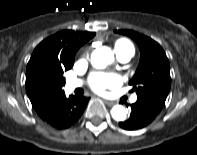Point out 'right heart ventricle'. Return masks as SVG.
I'll return each mask as SVG.
<instances>
[{
	"mask_svg": "<svg viewBox=\"0 0 197 155\" xmlns=\"http://www.w3.org/2000/svg\"><path fill=\"white\" fill-rule=\"evenodd\" d=\"M114 49L116 51V53H119L121 51L124 50H131L134 52V47L132 46V44L126 40H117L114 43Z\"/></svg>",
	"mask_w": 197,
	"mask_h": 155,
	"instance_id": "1",
	"label": "right heart ventricle"
}]
</instances>
